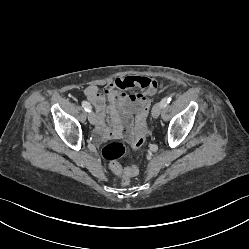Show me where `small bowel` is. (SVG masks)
Segmentation results:
<instances>
[{
	"mask_svg": "<svg viewBox=\"0 0 249 249\" xmlns=\"http://www.w3.org/2000/svg\"><path fill=\"white\" fill-rule=\"evenodd\" d=\"M155 81L147 77L126 76L116 78L106 85L103 93L97 86L90 85L84 89V95L96 110L97 135L99 140L123 135L132 140V111L149 108L151 96L156 92ZM157 85V84H156ZM132 87L141 89V93L128 95L124 90ZM106 100L108 103L106 104ZM120 175L119 173H116Z\"/></svg>",
	"mask_w": 249,
	"mask_h": 249,
	"instance_id": "1",
	"label": "small bowel"
}]
</instances>
